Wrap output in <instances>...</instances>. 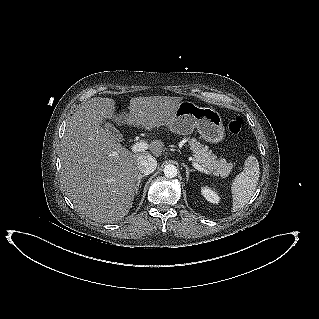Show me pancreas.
<instances>
[{"label":"pancreas","instance_id":"pancreas-1","mask_svg":"<svg viewBox=\"0 0 319 319\" xmlns=\"http://www.w3.org/2000/svg\"><path fill=\"white\" fill-rule=\"evenodd\" d=\"M189 145L193 154V161L201 165L204 169H207L214 175H220L221 177H227L233 168L231 162H227L226 159H217V156L209 150L208 146L202 145L195 138L189 139Z\"/></svg>","mask_w":319,"mask_h":319}]
</instances>
